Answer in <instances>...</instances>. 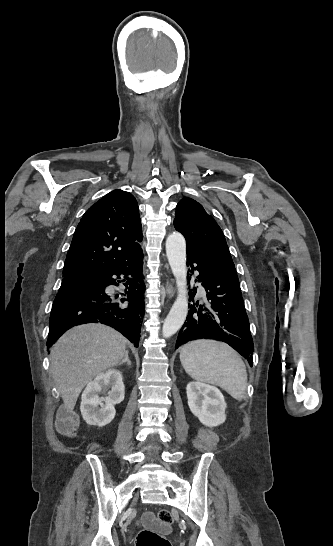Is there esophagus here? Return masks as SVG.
<instances>
[{"instance_id":"34e87169","label":"esophagus","mask_w":333,"mask_h":546,"mask_svg":"<svg viewBox=\"0 0 333 546\" xmlns=\"http://www.w3.org/2000/svg\"><path fill=\"white\" fill-rule=\"evenodd\" d=\"M166 292L170 298L173 297L175 293L174 287L169 281L166 282Z\"/></svg>"}]
</instances>
